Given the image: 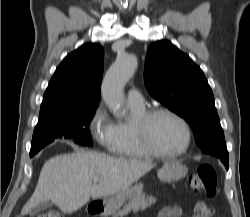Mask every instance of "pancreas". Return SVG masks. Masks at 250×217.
<instances>
[{"instance_id":"pancreas-1","label":"pancreas","mask_w":250,"mask_h":217,"mask_svg":"<svg viewBox=\"0 0 250 217\" xmlns=\"http://www.w3.org/2000/svg\"><path fill=\"white\" fill-rule=\"evenodd\" d=\"M156 202V198L153 196H145L143 192H139L134 195L129 202L124 205L121 210H118L113 214V217H122L123 215H127L131 211L138 212L146 209Z\"/></svg>"}]
</instances>
